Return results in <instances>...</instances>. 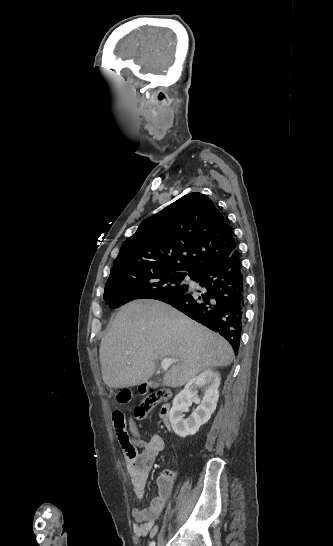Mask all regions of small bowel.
<instances>
[{"label":"small bowel","mask_w":333,"mask_h":546,"mask_svg":"<svg viewBox=\"0 0 333 546\" xmlns=\"http://www.w3.org/2000/svg\"><path fill=\"white\" fill-rule=\"evenodd\" d=\"M129 434L136 448L141 449L133 458L126 456L127 472L131 478L136 501L140 503L144 496L150 470L157 456L164 449L165 442L160 435H153L147 441L143 440L132 419L129 422ZM172 475L173 472H167L158 479L157 494L146 508L137 507L133 510L135 520L133 530L137 536L144 537L149 533L156 532L155 523L172 494Z\"/></svg>","instance_id":"1"}]
</instances>
